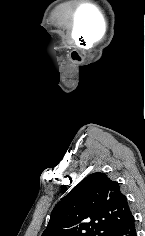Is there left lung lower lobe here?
<instances>
[{
	"instance_id": "obj_1",
	"label": "left lung lower lobe",
	"mask_w": 145,
	"mask_h": 236,
	"mask_svg": "<svg viewBox=\"0 0 145 236\" xmlns=\"http://www.w3.org/2000/svg\"><path fill=\"white\" fill-rule=\"evenodd\" d=\"M113 236H136L134 216L131 215L126 222L115 231Z\"/></svg>"
}]
</instances>
